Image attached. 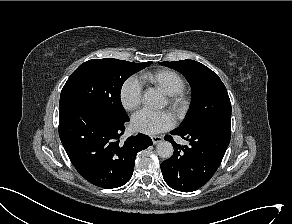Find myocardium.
Returning <instances> with one entry per match:
<instances>
[{
  "label": "myocardium",
  "instance_id": "obj_1",
  "mask_svg": "<svg viewBox=\"0 0 292 224\" xmlns=\"http://www.w3.org/2000/svg\"><path fill=\"white\" fill-rule=\"evenodd\" d=\"M168 102L178 115H183L189 107V100L182 93L168 95Z\"/></svg>",
  "mask_w": 292,
  "mask_h": 224
}]
</instances>
